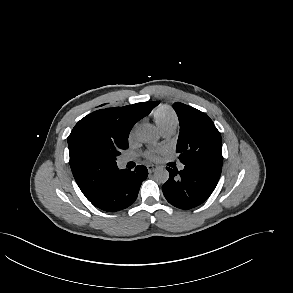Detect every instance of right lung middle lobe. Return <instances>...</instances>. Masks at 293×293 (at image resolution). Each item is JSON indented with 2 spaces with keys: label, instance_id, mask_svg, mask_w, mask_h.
Here are the masks:
<instances>
[{
  "label": "right lung middle lobe",
  "instance_id": "dd1d6c3e",
  "mask_svg": "<svg viewBox=\"0 0 293 293\" xmlns=\"http://www.w3.org/2000/svg\"><path fill=\"white\" fill-rule=\"evenodd\" d=\"M128 148V145L126 144L124 147H122V148H119V149H115L114 151H113V157H114V159H116V156L117 155H120V151L122 150V149H127Z\"/></svg>",
  "mask_w": 293,
  "mask_h": 293
}]
</instances>
